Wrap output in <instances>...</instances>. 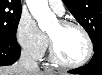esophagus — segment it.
Here are the masks:
<instances>
[{
    "instance_id": "1",
    "label": "esophagus",
    "mask_w": 102,
    "mask_h": 75,
    "mask_svg": "<svg viewBox=\"0 0 102 75\" xmlns=\"http://www.w3.org/2000/svg\"><path fill=\"white\" fill-rule=\"evenodd\" d=\"M46 71H50V69H46Z\"/></svg>"
}]
</instances>
